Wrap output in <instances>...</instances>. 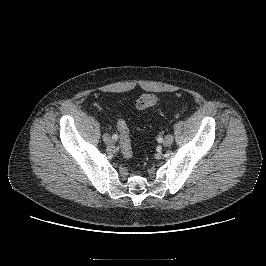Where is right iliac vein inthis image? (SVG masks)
Returning a JSON list of instances; mask_svg holds the SVG:
<instances>
[{"instance_id": "63e3f726", "label": "right iliac vein", "mask_w": 266, "mask_h": 266, "mask_svg": "<svg viewBox=\"0 0 266 266\" xmlns=\"http://www.w3.org/2000/svg\"><path fill=\"white\" fill-rule=\"evenodd\" d=\"M103 140H104V142H105L106 144H112V139H111L110 135H108V134H105V135L103 136Z\"/></svg>"}]
</instances>
